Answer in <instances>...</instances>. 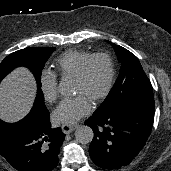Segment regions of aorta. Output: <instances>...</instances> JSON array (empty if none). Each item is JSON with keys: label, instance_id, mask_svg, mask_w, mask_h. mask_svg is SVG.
<instances>
[{"label": "aorta", "instance_id": "762f6f07", "mask_svg": "<svg viewBox=\"0 0 171 171\" xmlns=\"http://www.w3.org/2000/svg\"><path fill=\"white\" fill-rule=\"evenodd\" d=\"M58 90L62 95H71L73 93V88L67 81H61L58 86ZM75 138L77 142L81 144H88L94 138V132L91 127L83 125L79 126L75 131Z\"/></svg>", "mask_w": 171, "mask_h": 171}]
</instances>
